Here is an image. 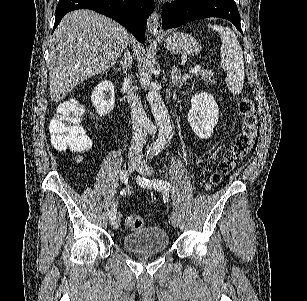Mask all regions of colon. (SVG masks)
Returning a JSON list of instances; mask_svg holds the SVG:
<instances>
[{"mask_svg": "<svg viewBox=\"0 0 307 301\" xmlns=\"http://www.w3.org/2000/svg\"><path fill=\"white\" fill-rule=\"evenodd\" d=\"M238 111L243 119V126L224 151L206 184L207 190L219 185L253 148L257 124L253 101L248 97L241 98L238 103ZM83 112V107L74 100L67 101L59 107L50 123L51 138L55 148L83 151L91 146V139L81 125ZM124 225L127 230L136 231L143 227L144 220L139 215L129 214L125 217Z\"/></svg>", "mask_w": 307, "mask_h": 301, "instance_id": "5ec220e1", "label": "colon"}]
</instances>
